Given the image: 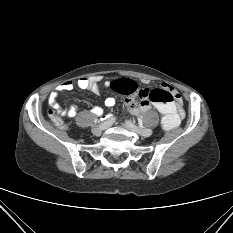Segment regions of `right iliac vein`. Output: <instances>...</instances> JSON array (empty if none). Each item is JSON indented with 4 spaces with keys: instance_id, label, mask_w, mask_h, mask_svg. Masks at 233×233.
Segmentation results:
<instances>
[{
    "instance_id": "right-iliac-vein-1",
    "label": "right iliac vein",
    "mask_w": 233,
    "mask_h": 233,
    "mask_svg": "<svg viewBox=\"0 0 233 233\" xmlns=\"http://www.w3.org/2000/svg\"><path fill=\"white\" fill-rule=\"evenodd\" d=\"M105 128H106L105 126H104V127H101V125H100V126H95V127L92 129V133H93L94 135H96V136H100L101 133H102V131H103Z\"/></svg>"
}]
</instances>
